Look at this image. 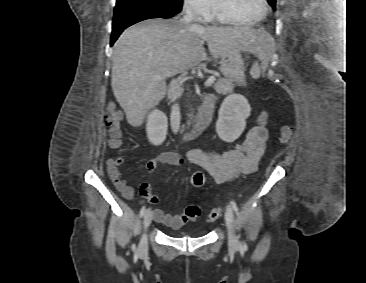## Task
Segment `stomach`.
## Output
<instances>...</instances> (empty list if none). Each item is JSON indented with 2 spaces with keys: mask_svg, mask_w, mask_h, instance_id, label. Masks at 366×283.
I'll use <instances>...</instances> for the list:
<instances>
[{
  "mask_svg": "<svg viewBox=\"0 0 366 283\" xmlns=\"http://www.w3.org/2000/svg\"><path fill=\"white\" fill-rule=\"evenodd\" d=\"M220 71L231 81L239 82L243 72L244 63L241 56V51L238 48H233L232 53H227L220 56Z\"/></svg>",
  "mask_w": 366,
  "mask_h": 283,
  "instance_id": "0dacf381",
  "label": "stomach"
}]
</instances>
